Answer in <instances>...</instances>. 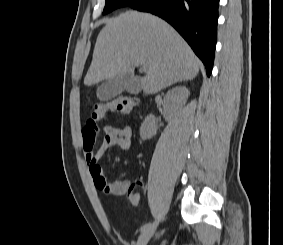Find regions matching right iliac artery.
I'll return each mask as SVG.
<instances>
[{"label":"right iliac artery","instance_id":"1","mask_svg":"<svg viewBox=\"0 0 283 245\" xmlns=\"http://www.w3.org/2000/svg\"><path fill=\"white\" fill-rule=\"evenodd\" d=\"M151 225H152L151 223H146V224H144V225L140 228V232H141V233H144L147 229L150 228Z\"/></svg>","mask_w":283,"mask_h":245}]
</instances>
